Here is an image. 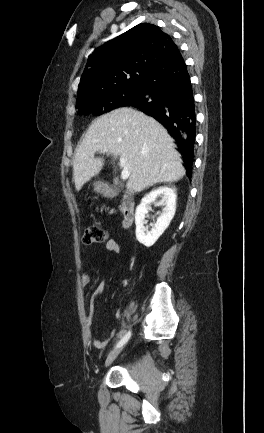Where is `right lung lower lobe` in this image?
Returning a JSON list of instances; mask_svg holds the SVG:
<instances>
[{"label": "right lung lower lobe", "mask_w": 264, "mask_h": 433, "mask_svg": "<svg viewBox=\"0 0 264 433\" xmlns=\"http://www.w3.org/2000/svg\"><path fill=\"white\" fill-rule=\"evenodd\" d=\"M137 96L121 107H134L159 121L175 138L191 178L195 141V104L186 64L179 50L140 84Z\"/></svg>", "instance_id": "98d812e1"}]
</instances>
